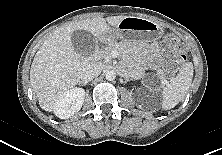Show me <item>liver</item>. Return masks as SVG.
<instances>
[{"label":"liver","instance_id":"6515ba94","mask_svg":"<svg viewBox=\"0 0 222 155\" xmlns=\"http://www.w3.org/2000/svg\"><path fill=\"white\" fill-rule=\"evenodd\" d=\"M126 16L89 18L69 23L52 32L37 51L30 69V82L39 105L45 111H53L58 99L75 87L80 74L90 64L73 47L71 35L85 30L99 38Z\"/></svg>","mask_w":222,"mask_h":155}]
</instances>
